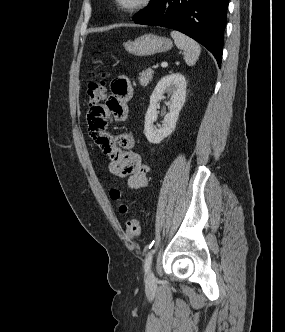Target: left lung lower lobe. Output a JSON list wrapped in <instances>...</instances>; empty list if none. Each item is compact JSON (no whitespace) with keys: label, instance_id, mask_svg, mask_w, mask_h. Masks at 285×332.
Instances as JSON below:
<instances>
[{"label":"left lung lower lobe","instance_id":"1","mask_svg":"<svg viewBox=\"0 0 285 332\" xmlns=\"http://www.w3.org/2000/svg\"><path fill=\"white\" fill-rule=\"evenodd\" d=\"M228 0H161L135 23L180 31L205 46L220 67Z\"/></svg>","mask_w":285,"mask_h":332}]
</instances>
